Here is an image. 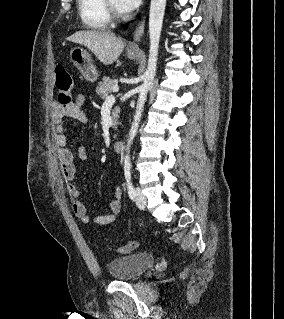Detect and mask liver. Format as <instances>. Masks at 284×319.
I'll return each instance as SVG.
<instances>
[{
    "label": "liver",
    "instance_id": "liver-1",
    "mask_svg": "<svg viewBox=\"0 0 284 319\" xmlns=\"http://www.w3.org/2000/svg\"><path fill=\"white\" fill-rule=\"evenodd\" d=\"M67 40L84 45L105 65L116 61L125 47L124 41L110 30L77 31Z\"/></svg>",
    "mask_w": 284,
    "mask_h": 319
}]
</instances>
